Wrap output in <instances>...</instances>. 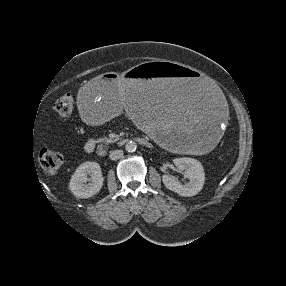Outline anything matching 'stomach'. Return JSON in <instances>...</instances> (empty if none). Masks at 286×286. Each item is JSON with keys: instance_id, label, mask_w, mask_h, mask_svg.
Instances as JSON below:
<instances>
[{"instance_id": "obj_1", "label": "stomach", "mask_w": 286, "mask_h": 286, "mask_svg": "<svg viewBox=\"0 0 286 286\" xmlns=\"http://www.w3.org/2000/svg\"><path fill=\"white\" fill-rule=\"evenodd\" d=\"M75 108L90 123L116 119L126 110L138 127L180 154L213 147L227 120L226 103L213 83L168 60L96 75L78 92Z\"/></svg>"}]
</instances>
